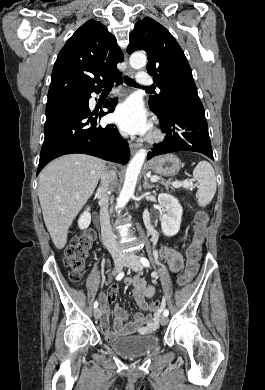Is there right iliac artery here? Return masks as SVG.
<instances>
[{
	"label": "right iliac artery",
	"instance_id": "1",
	"mask_svg": "<svg viewBox=\"0 0 265 390\" xmlns=\"http://www.w3.org/2000/svg\"><path fill=\"white\" fill-rule=\"evenodd\" d=\"M124 277V272H121L119 273L117 276H116V280L119 281L121 280L122 278ZM98 307V301H95L94 302V308L96 309Z\"/></svg>",
	"mask_w": 265,
	"mask_h": 390
}]
</instances>
